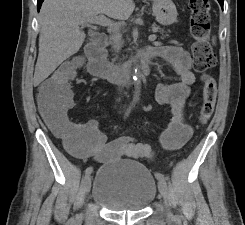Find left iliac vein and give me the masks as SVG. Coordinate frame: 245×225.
<instances>
[{
    "instance_id": "obj_1",
    "label": "left iliac vein",
    "mask_w": 245,
    "mask_h": 225,
    "mask_svg": "<svg viewBox=\"0 0 245 225\" xmlns=\"http://www.w3.org/2000/svg\"><path fill=\"white\" fill-rule=\"evenodd\" d=\"M158 188H159V192L161 193L166 205H168V187H167V183L164 180H160L158 183ZM168 217H172V213L168 210L167 212Z\"/></svg>"
}]
</instances>
